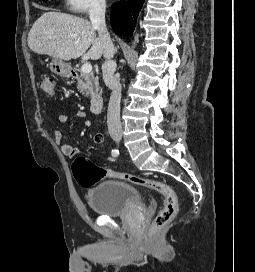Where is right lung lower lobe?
Here are the masks:
<instances>
[{
    "label": "right lung lower lobe",
    "instance_id": "98d812e1",
    "mask_svg": "<svg viewBox=\"0 0 255 272\" xmlns=\"http://www.w3.org/2000/svg\"><path fill=\"white\" fill-rule=\"evenodd\" d=\"M144 0H123L111 8V25L122 36H132Z\"/></svg>",
    "mask_w": 255,
    "mask_h": 272
}]
</instances>
